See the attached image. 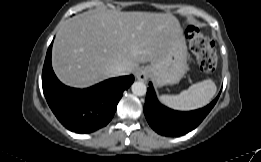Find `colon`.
Here are the masks:
<instances>
[{
    "label": "colon",
    "mask_w": 261,
    "mask_h": 162,
    "mask_svg": "<svg viewBox=\"0 0 261 162\" xmlns=\"http://www.w3.org/2000/svg\"><path fill=\"white\" fill-rule=\"evenodd\" d=\"M186 36L200 68L207 73L214 71L217 65V55L210 37L193 27L187 29Z\"/></svg>",
    "instance_id": "5ec220e1"
}]
</instances>
